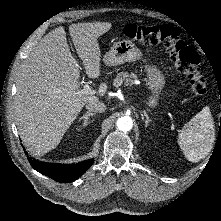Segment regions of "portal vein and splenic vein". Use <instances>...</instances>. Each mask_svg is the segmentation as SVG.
<instances>
[{
	"instance_id": "1",
	"label": "portal vein and splenic vein",
	"mask_w": 221,
	"mask_h": 221,
	"mask_svg": "<svg viewBox=\"0 0 221 221\" xmlns=\"http://www.w3.org/2000/svg\"><path fill=\"white\" fill-rule=\"evenodd\" d=\"M80 94H85V95H94L96 94L97 92L93 89H91V87L89 86V84H85L83 89H81L79 91Z\"/></svg>"
}]
</instances>
